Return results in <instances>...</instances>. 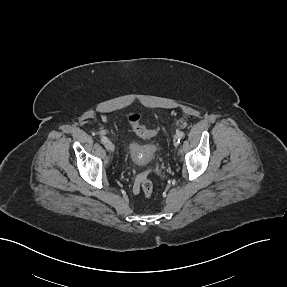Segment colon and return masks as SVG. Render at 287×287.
<instances>
[{
  "instance_id": "colon-1",
  "label": "colon",
  "mask_w": 287,
  "mask_h": 287,
  "mask_svg": "<svg viewBox=\"0 0 287 287\" xmlns=\"http://www.w3.org/2000/svg\"><path fill=\"white\" fill-rule=\"evenodd\" d=\"M126 121L129 124L131 130L141 138H152L159 132L158 127L148 128L141 124L140 116L137 113H130L126 116ZM136 188L141 190L146 197L153 195V184L148 177L147 173H142L139 176Z\"/></svg>"
}]
</instances>
